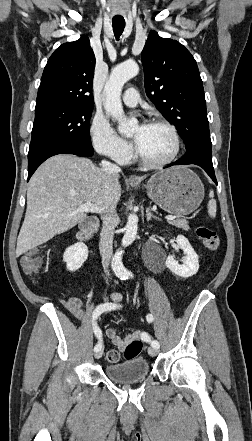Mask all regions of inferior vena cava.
Returning <instances> with one entry per match:
<instances>
[{
	"instance_id": "inferior-vena-cava-1",
	"label": "inferior vena cava",
	"mask_w": 252,
	"mask_h": 441,
	"mask_svg": "<svg viewBox=\"0 0 252 441\" xmlns=\"http://www.w3.org/2000/svg\"><path fill=\"white\" fill-rule=\"evenodd\" d=\"M102 169L106 174L109 175L121 171L119 166L106 160L102 161ZM115 213H116V205L110 204V206L106 208V214L101 216L102 229L100 232V252L102 256V265L107 275H109L107 268L110 264L113 255Z\"/></svg>"
}]
</instances>
